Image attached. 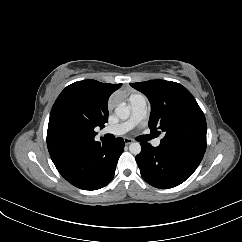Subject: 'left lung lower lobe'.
Listing matches in <instances>:
<instances>
[{"label": "left lung lower lobe", "mask_w": 242, "mask_h": 242, "mask_svg": "<svg viewBox=\"0 0 242 242\" xmlns=\"http://www.w3.org/2000/svg\"><path fill=\"white\" fill-rule=\"evenodd\" d=\"M141 152L136 156L143 179L150 185L167 189L188 179L200 164L204 153L173 148L163 144L153 147L140 143Z\"/></svg>", "instance_id": "0a47b994"}]
</instances>
